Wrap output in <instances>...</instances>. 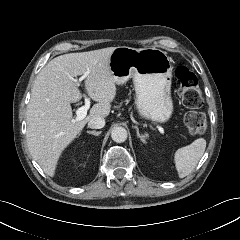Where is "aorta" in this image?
<instances>
[{
  "label": "aorta",
  "mask_w": 240,
  "mask_h": 240,
  "mask_svg": "<svg viewBox=\"0 0 240 240\" xmlns=\"http://www.w3.org/2000/svg\"><path fill=\"white\" fill-rule=\"evenodd\" d=\"M111 138L116 143H123L127 139V131L124 127H114L111 132Z\"/></svg>",
  "instance_id": "1"
}]
</instances>
